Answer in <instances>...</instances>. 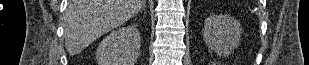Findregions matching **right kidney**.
<instances>
[{
	"mask_svg": "<svg viewBox=\"0 0 309 65\" xmlns=\"http://www.w3.org/2000/svg\"><path fill=\"white\" fill-rule=\"evenodd\" d=\"M140 33L135 26L112 31L96 51L98 65H135L140 51Z\"/></svg>",
	"mask_w": 309,
	"mask_h": 65,
	"instance_id": "obj_1",
	"label": "right kidney"
}]
</instances>
